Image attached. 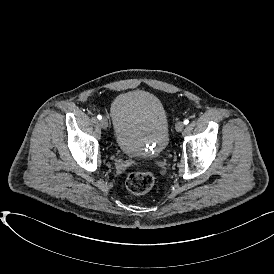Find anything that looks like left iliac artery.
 I'll list each match as a JSON object with an SVG mask.
<instances>
[{"mask_svg": "<svg viewBox=\"0 0 274 274\" xmlns=\"http://www.w3.org/2000/svg\"><path fill=\"white\" fill-rule=\"evenodd\" d=\"M189 123V120L188 119H185L184 120V124L187 125Z\"/></svg>", "mask_w": 274, "mask_h": 274, "instance_id": "obj_1", "label": "left iliac artery"}]
</instances>
